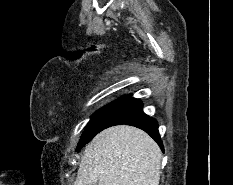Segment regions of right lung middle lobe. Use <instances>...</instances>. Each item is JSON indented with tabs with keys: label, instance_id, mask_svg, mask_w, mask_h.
Segmentation results:
<instances>
[{
	"label": "right lung middle lobe",
	"instance_id": "1",
	"mask_svg": "<svg viewBox=\"0 0 233 185\" xmlns=\"http://www.w3.org/2000/svg\"><path fill=\"white\" fill-rule=\"evenodd\" d=\"M124 98L125 97H120L119 99L113 101L112 103L98 110L92 116L91 120L89 121L81 137V140L77 147V151H79L86 143H88L99 132L101 122Z\"/></svg>",
	"mask_w": 233,
	"mask_h": 185
}]
</instances>
